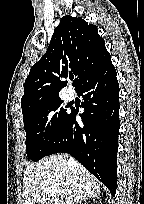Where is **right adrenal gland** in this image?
I'll return each instance as SVG.
<instances>
[{
    "label": "right adrenal gland",
    "mask_w": 144,
    "mask_h": 204,
    "mask_svg": "<svg viewBox=\"0 0 144 204\" xmlns=\"http://www.w3.org/2000/svg\"><path fill=\"white\" fill-rule=\"evenodd\" d=\"M88 199H89V198H87V199H83L84 202H85V204H87ZM81 200H82V199H81ZM79 204H82L81 201H79Z\"/></svg>",
    "instance_id": "2a0ac1e0"
}]
</instances>
